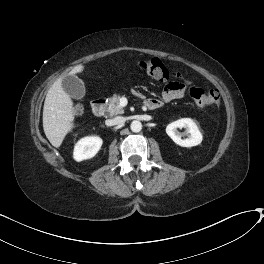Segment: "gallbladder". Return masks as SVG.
<instances>
[{"instance_id":"bac80fb5","label":"gallbladder","mask_w":264,"mask_h":264,"mask_svg":"<svg viewBox=\"0 0 264 264\" xmlns=\"http://www.w3.org/2000/svg\"><path fill=\"white\" fill-rule=\"evenodd\" d=\"M63 88L74 99H81L86 93L84 82L77 76L68 75L63 78Z\"/></svg>"}]
</instances>
